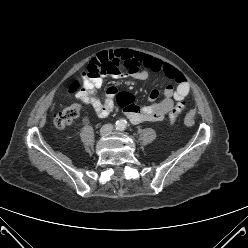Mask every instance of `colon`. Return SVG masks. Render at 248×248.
<instances>
[{
	"label": "colon",
	"mask_w": 248,
	"mask_h": 248,
	"mask_svg": "<svg viewBox=\"0 0 248 248\" xmlns=\"http://www.w3.org/2000/svg\"><path fill=\"white\" fill-rule=\"evenodd\" d=\"M115 69H117V65L112 60L105 59L104 61L98 62L95 65L90 63L84 75L88 77H94L113 71ZM68 92L75 95L78 92H82L83 94L87 93L84 83L79 79L74 80L69 85ZM132 101V97L127 93H121L117 96V103L123 109H125ZM187 104V101L182 100L171 110L169 113V123L171 125L176 123L178 116L186 109ZM82 109V104H74L63 110L56 111L53 116L54 125L58 128L66 127L78 116Z\"/></svg>",
	"instance_id": "5ec220e1"
}]
</instances>
